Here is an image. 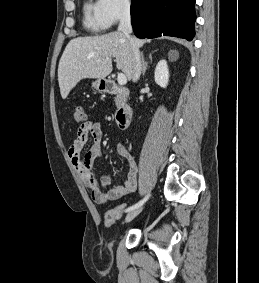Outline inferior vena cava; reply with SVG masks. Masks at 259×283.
Segmentation results:
<instances>
[{"instance_id":"602c4592","label":"inferior vena cava","mask_w":259,"mask_h":283,"mask_svg":"<svg viewBox=\"0 0 259 283\" xmlns=\"http://www.w3.org/2000/svg\"><path fill=\"white\" fill-rule=\"evenodd\" d=\"M118 31L122 32L130 42L132 51V80L133 82H137L140 77L142 64L139 49L135 46L130 36V34L132 33V26L130 8L128 6L124 7L122 10Z\"/></svg>"}]
</instances>
